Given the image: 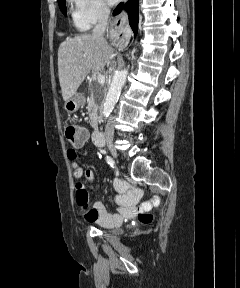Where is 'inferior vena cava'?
Listing matches in <instances>:
<instances>
[{
    "mask_svg": "<svg viewBox=\"0 0 240 288\" xmlns=\"http://www.w3.org/2000/svg\"><path fill=\"white\" fill-rule=\"evenodd\" d=\"M109 9L106 6H101L98 13V22L97 25L94 27L92 36L94 38L100 39L104 41V33L106 31V27L108 25V18H109ZM114 135V127L112 123H108L105 129V139L107 141H111Z\"/></svg>",
    "mask_w": 240,
    "mask_h": 288,
    "instance_id": "602c4592",
    "label": "inferior vena cava"
}]
</instances>
